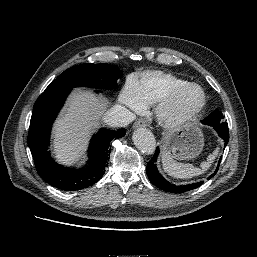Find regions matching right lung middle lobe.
Instances as JSON below:
<instances>
[{"mask_svg": "<svg viewBox=\"0 0 257 257\" xmlns=\"http://www.w3.org/2000/svg\"><path fill=\"white\" fill-rule=\"evenodd\" d=\"M121 76V70L109 64H80L65 70L44 92L74 87L113 89Z\"/></svg>", "mask_w": 257, "mask_h": 257, "instance_id": "dd1d6c3e", "label": "right lung middle lobe"}]
</instances>
